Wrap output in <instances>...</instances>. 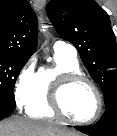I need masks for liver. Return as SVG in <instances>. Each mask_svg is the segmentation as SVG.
I'll return each mask as SVG.
<instances>
[{
  "label": "liver",
  "mask_w": 117,
  "mask_h": 136,
  "mask_svg": "<svg viewBox=\"0 0 117 136\" xmlns=\"http://www.w3.org/2000/svg\"><path fill=\"white\" fill-rule=\"evenodd\" d=\"M0 136H82L76 131L50 122L29 121L13 117L0 122Z\"/></svg>",
  "instance_id": "obj_1"
}]
</instances>
